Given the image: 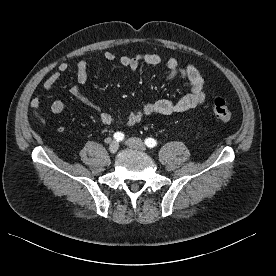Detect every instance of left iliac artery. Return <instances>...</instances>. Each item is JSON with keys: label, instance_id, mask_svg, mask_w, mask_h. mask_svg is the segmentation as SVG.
I'll return each instance as SVG.
<instances>
[{"label": "left iliac artery", "instance_id": "left-iliac-artery-1", "mask_svg": "<svg viewBox=\"0 0 276 276\" xmlns=\"http://www.w3.org/2000/svg\"><path fill=\"white\" fill-rule=\"evenodd\" d=\"M144 142L145 145L149 148H153L157 145L156 140H154L153 138H146Z\"/></svg>", "mask_w": 276, "mask_h": 276}]
</instances>
